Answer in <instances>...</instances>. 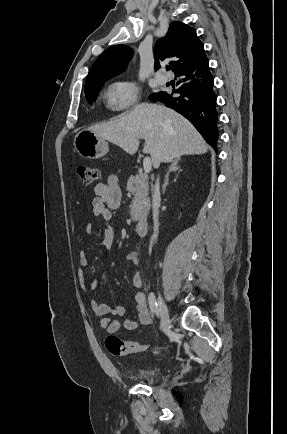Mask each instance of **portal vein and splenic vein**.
I'll return each mask as SVG.
<instances>
[{"label":"portal vein and splenic vein","instance_id":"obj_1","mask_svg":"<svg viewBox=\"0 0 287 434\" xmlns=\"http://www.w3.org/2000/svg\"><path fill=\"white\" fill-rule=\"evenodd\" d=\"M143 167H144V172L145 175L147 176V174L151 171L152 169V163H151V159L150 157H145L143 160Z\"/></svg>","mask_w":287,"mask_h":434}]
</instances>
